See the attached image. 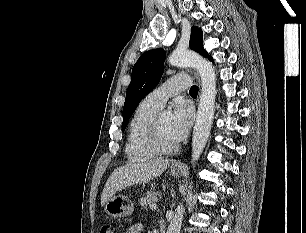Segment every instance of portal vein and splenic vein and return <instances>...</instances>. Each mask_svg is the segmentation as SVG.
<instances>
[{"mask_svg":"<svg viewBox=\"0 0 306 233\" xmlns=\"http://www.w3.org/2000/svg\"><path fill=\"white\" fill-rule=\"evenodd\" d=\"M149 208L151 210H155V209H157V204L156 203H152V204L149 205Z\"/></svg>","mask_w":306,"mask_h":233,"instance_id":"obj_1","label":"portal vein and splenic vein"}]
</instances>
